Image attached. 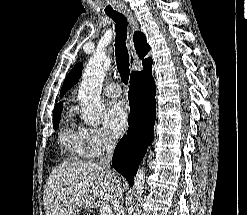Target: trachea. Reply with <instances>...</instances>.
<instances>
[{
	"instance_id": "3493384b",
	"label": "trachea",
	"mask_w": 247,
	"mask_h": 215,
	"mask_svg": "<svg viewBox=\"0 0 247 215\" xmlns=\"http://www.w3.org/2000/svg\"><path fill=\"white\" fill-rule=\"evenodd\" d=\"M107 15L116 23L115 55L117 69L122 82L127 85L130 74L129 54L126 47L128 26L127 18L118 12L108 13Z\"/></svg>"
}]
</instances>
